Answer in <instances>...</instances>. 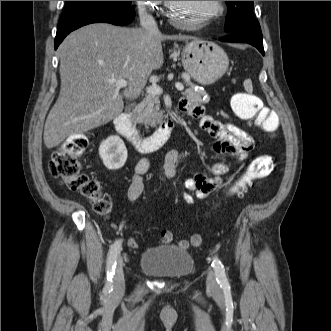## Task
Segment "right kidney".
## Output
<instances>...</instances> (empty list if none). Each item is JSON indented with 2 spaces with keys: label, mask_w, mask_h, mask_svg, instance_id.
I'll list each match as a JSON object with an SVG mask.
<instances>
[{
  "label": "right kidney",
  "mask_w": 331,
  "mask_h": 331,
  "mask_svg": "<svg viewBox=\"0 0 331 331\" xmlns=\"http://www.w3.org/2000/svg\"><path fill=\"white\" fill-rule=\"evenodd\" d=\"M99 155L108 169L117 170L123 167L127 160V149L123 140L113 135L102 141Z\"/></svg>",
  "instance_id": "ca27d5eb"
}]
</instances>
